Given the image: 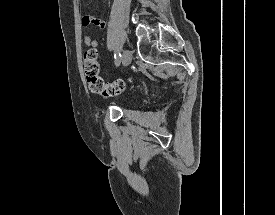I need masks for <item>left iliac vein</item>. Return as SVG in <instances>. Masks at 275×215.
<instances>
[{"label": "left iliac vein", "mask_w": 275, "mask_h": 215, "mask_svg": "<svg viewBox=\"0 0 275 215\" xmlns=\"http://www.w3.org/2000/svg\"><path fill=\"white\" fill-rule=\"evenodd\" d=\"M132 60V53L129 50H125L123 52L122 58H121V62L123 64V66H128L130 64Z\"/></svg>", "instance_id": "obj_1"}]
</instances>
